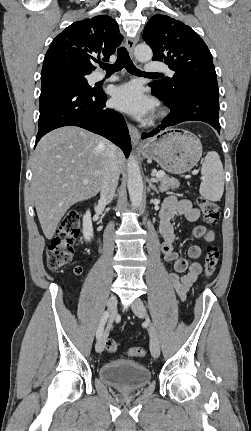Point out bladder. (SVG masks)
<instances>
[{"mask_svg": "<svg viewBox=\"0 0 251 431\" xmlns=\"http://www.w3.org/2000/svg\"><path fill=\"white\" fill-rule=\"evenodd\" d=\"M98 374L106 384L122 392H130L147 385L150 371L140 363L130 360H112L103 364Z\"/></svg>", "mask_w": 251, "mask_h": 431, "instance_id": "1", "label": "bladder"}]
</instances>
